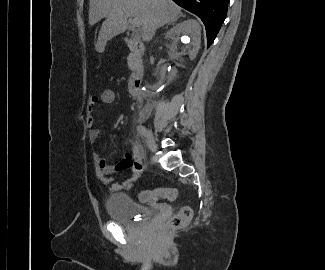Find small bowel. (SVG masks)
<instances>
[{"label":"small bowel","mask_w":325,"mask_h":270,"mask_svg":"<svg viewBox=\"0 0 325 270\" xmlns=\"http://www.w3.org/2000/svg\"><path fill=\"white\" fill-rule=\"evenodd\" d=\"M101 96H103L101 94ZM115 96V95H114ZM100 98L91 96L88 99L86 108V125L89 127V139L96 141L101 137V130L93 127L94 125V112ZM113 104V103H104ZM136 155L134 152L125 153L116 164H109L99 154H93V162L96 169L98 179L109 187L111 191L127 190L133 187L134 182L140 176V166L135 163ZM130 171L129 175L121 180H115L112 176L117 172Z\"/></svg>","instance_id":"1"}]
</instances>
